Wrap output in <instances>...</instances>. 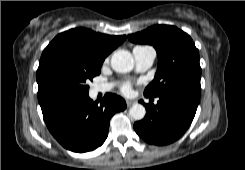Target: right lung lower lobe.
<instances>
[{"label": "right lung lower lobe", "instance_id": "1", "mask_svg": "<svg viewBox=\"0 0 245 170\" xmlns=\"http://www.w3.org/2000/svg\"><path fill=\"white\" fill-rule=\"evenodd\" d=\"M125 108L123 98L108 93L99 104L85 95L63 101L42 113L49 131L63 147L87 152L103 144L111 117Z\"/></svg>", "mask_w": 245, "mask_h": 170}]
</instances>
